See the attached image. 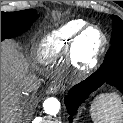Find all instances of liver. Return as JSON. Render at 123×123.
I'll return each instance as SVG.
<instances>
[{
	"label": "liver",
	"instance_id": "liver-1",
	"mask_svg": "<svg viewBox=\"0 0 123 123\" xmlns=\"http://www.w3.org/2000/svg\"><path fill=\"white\" fill-rule=\"evenodd\" d=\"M29 61L10 41L1 43V123L16 121L21 95L20 82L26 77Z\"/></svg>",
	"mask_w": 123,
	"mask_h": 123
}]
</instances>
